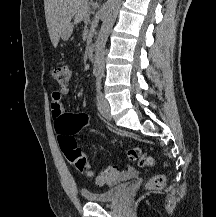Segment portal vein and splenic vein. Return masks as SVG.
<instances>
[{"mask_svg": "<svg viewBox=\"0 0 216 217\" xmlns=\"http://www.w3.org/2000/svg\"><path fill=\"white\" fill-rule=\"evenodd\" d=\"M89 21V14L86 16V22Z\"/></svg>", "mask_w": 216, "mask_h": 217, "instance_id": "18ae733b", "label": "portal vein and splenic vein"}]
</instances>
